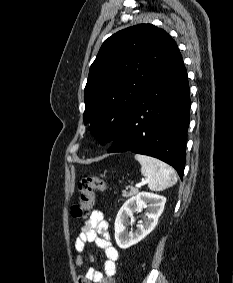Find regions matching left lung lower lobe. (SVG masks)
<instances>
[{
	"instance_id": "left-lung-lower-lobe-1",
	"label": "left lung lower lobe",
	"mask_w": 233,
	"mask_h": 283,
	"mask_svg": "<svg viewBox=\"0 0 233 283\" xmlns=\"http://www.w3.org/2000/svg\"><path fill=\"white\" fill-rule=\"evenodd\" d=\"M187 71L175 45L146 82L140 99L108 152L158 158L183 178L190 111Z\"/></svg>"
}]
</instances>
